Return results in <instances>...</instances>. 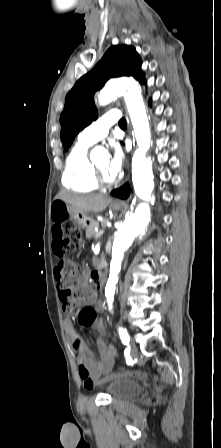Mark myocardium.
I'll return each instance as SVG.
<instances>
[{
	"label": "myocardium",
	"instance_id": "f54148a6",
	"mask_svg": "<svg viewBox=\"0 0 221 448\" xmlns=\"http://www.w3.org/2000/svg\"><path fill=\"white\" fill-rule=\"evenodd\" d=\"M93 168L95 173V179L98 185L110 186L115 182L114 179L106 177L96 165H93Z\"/></svg>",
	"mask_w": 221,
	"mask_h": 448
}]
</instances>
